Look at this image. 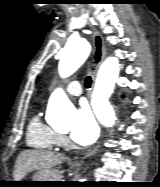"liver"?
<instances>
[{"instance_id": "liver-1", "label": "liver", "mask_w": 160, "mask_h": 187, "mask_svg": "<svg viewBox=\"0 0 160 187\" xmlns=\"http://www.w3.org/2000/svg\"><path fill=\"white\" fill-rule=\"evenodd\" d=\"M65 160L63 154L38 150H26L20 153L14 169V181H20L28 173L50 170Z\"/></svg>"}]
</instances>
